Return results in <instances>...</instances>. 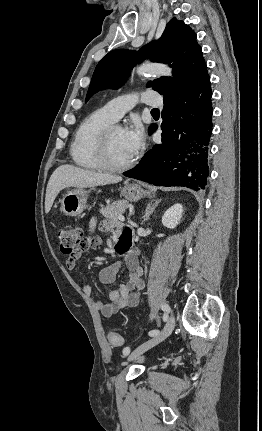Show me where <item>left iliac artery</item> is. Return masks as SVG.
<instances>
[{
    "instance_id": "obj_1",
    "label": "left iliac artery",
    "mask_w": 262,
    "mask_h": 431,
    "mask_svg": "<svg viewBox=\"0 0 262 431\" xmlns=\"http://www.w3.org/2000/svg\"><path fill=\"white\" fill-rule=\"evenodd\" d=\"M161 308H162L163 311L170 312V307L167 304H163L161 306ZM158 333H159L158 330H151V331H149L148 335L152 337V336L157 335ZM129 352H130L129 347L124 348V350H123V354L124 355H128Z\"/></svg>"
}]
</instances>
